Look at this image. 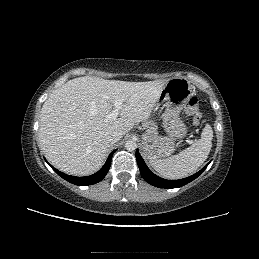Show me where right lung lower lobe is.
<instances>
[{
  "mask_svg": "<svg viewBox=\"0 0 259 259\" xmlns=\"http://www.w3.org/2000/svg\"><path fill=\"white\" fill-rule=\"evenodd\" d=\"M116 150L117 149L113 150L110 153L106 163L104 164V166L98 172H96L93 175L85 176V177H75V176L67 175L65 173H62V172L58 171L54 167H52L48 162L47 163L51 166V168L59 176H61L63 179L67 180L68 182L73 183V184L78 185V186H86V185L98 183L105 177V175L109 171V168H110V165H111V159H112V156H113V154Z\"/></svg>",
  "mask_w": 259,
  "mask_h": 259,
  "instance_id": "obj_1",
  "label": "right lung lower lobe"
}]
</instances>
